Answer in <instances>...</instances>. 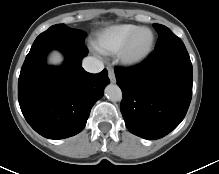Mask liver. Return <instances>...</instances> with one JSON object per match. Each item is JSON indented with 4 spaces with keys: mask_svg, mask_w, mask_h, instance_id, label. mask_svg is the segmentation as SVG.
<instances>
[{
    "mask_svg": "<svg viewBox=\"0 0 219 174\" xmlns=\"http://www.w3.org/2000/svg\"><path fill=\"white\" fill-rule=\"evenodd\" d=\"M61 61H62V57L57 52H54L50 57V62L53 64H59Z\"/></svg>",
    "mask_w": 219,
    "mask_h": 174,
    "instance_id": "1",
    "label": "liver"
}]
</instances>
